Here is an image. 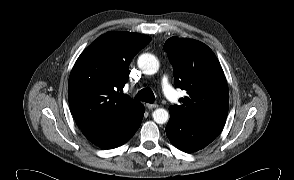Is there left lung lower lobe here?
Segmentation results:
<instances>
[{
  "label": "left lung lower lobe",
  "mask_w": 294,
  "mask_h": 180,
  "mask_svg": "<svg viewBox=\"0 0 294 180\" xmlns=\"http://www.w3.org/2000/svg\"><path fill=\"white\" fill-rule=\"evenodd\" d=\"M170 119L166 134L170 142L181 151L192 153L210 144L222 131L225 121L188 120L169 109Z\"/></svg>",
  "instance_id": "0a47b994"
}]
</instances>
